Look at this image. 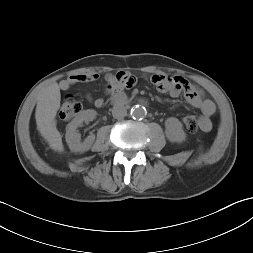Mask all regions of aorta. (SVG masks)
I'll use <instances>...</instances> for the list:
<instances>
[{"instance_id": "aorta-1", "label": "aorta", "mask_w": 253, "mask_h": 253, "mask_svg": "<svg viewBox=\"0 0 253 253\" xmlns=\"http://www.w3.org/2000/svg\"><path fill=\"white\" fill-rule=\"evenodd\" d=\"M131 115L134 119H141L146 115V110L141 105H135L131 108Z\"/></svg>"}]
</instances>
